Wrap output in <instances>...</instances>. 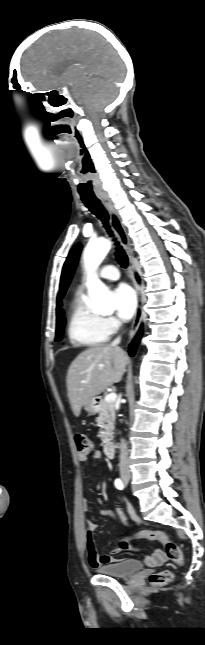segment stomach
<instances>
[{
    "label": "stomach",
    "instance_id": "0dacf381",
    "mask_svg": "<svg viewBox=\"0 0 205 645\" xmlns=\"http://www.w3.org/2000/svg\"><path fill=\"white\" fill-rule=\"evenodd\" d=\"M99 407H100V402L98 398H93L84 405L85 411H87L90 414H96L99 411Z\"/></svg>",
    "mask_w": 205,
    "mask_h": 645
}]
</instances>
